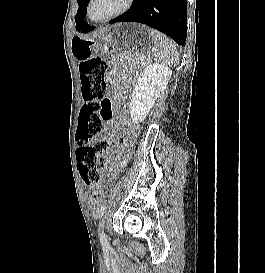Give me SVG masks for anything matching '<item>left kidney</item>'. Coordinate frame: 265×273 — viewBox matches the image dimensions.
<instances>
[{
	"label": "left kidney",
	"instance_id": "left-kidney-1",
	"mask_svg": "<svg viewBox=\"0 0 265 273\" xmlns=\"http://www.w3.org/2000/svg\"><path fill=\"white\" fill-rule=\"evenodd\" d=\"M172 70L163 64H150L140 74L133 90L129 109L133 122L140 123L148 115L157 98L165 90Z\"/></svg>",
	"mask_w": 265,
	"mask_h": 273
}]
</instances>
